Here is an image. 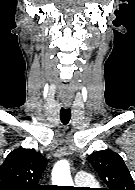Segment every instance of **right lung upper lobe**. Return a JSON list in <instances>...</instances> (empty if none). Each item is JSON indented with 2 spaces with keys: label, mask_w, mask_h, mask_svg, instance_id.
Masks as SVG:
<instances>
[{
  "label": "right lung upper lobe",
  "mask_w": 135,
  "mask_h": 190,
  "mask_svg": "<svg viewBox=\"0 0 135 190\" xmlns=\"http://www.w3.org/2000/svg\"><path fill=\"white\" fill-rule=\"evenodd\" d=\"M47 159L34 149L17 148L0 166V190H40Z\"/></svg>",
  "instance_id": "1"
}]
</instances>
